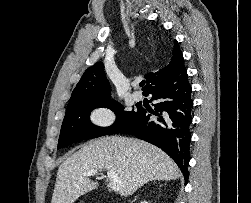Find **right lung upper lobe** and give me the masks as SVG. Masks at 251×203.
Instances as JSON below:
<instances>
[{
    "mask_svg": "<svg viewBox=\"0 0 251 203\" xmlns=\"http://www.w3.org/2000/svg\"><path fill=\"white\" fill-rule=\"evenodd\" d=\"M182 66H184L183 55L178 42L174 41L171 61L167 66L159 69L157 72L147 74V85L144 87V94L151 87L168 78ZM110 91L111 88L104 72L103 62H97L84 72L72 92L69 104L107 99L110 96Z\"/></svg>",
    "mask_w": 251,
    "mask_h": 203,
    "instance_id": "cb5924a9",
    "label": "right lung upper lobe"
}]
</instances>
